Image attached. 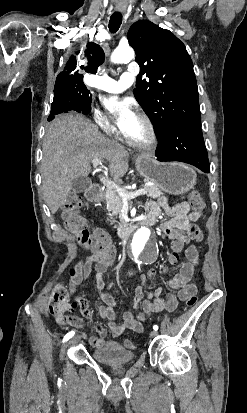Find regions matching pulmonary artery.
<instances>
[{"label":"pulmonary artery","mask_w":247,"mask_h":413,"mask_svg":"<svg viewBox=\"0 0 247 413\" xmlns=\"http://www.w3.org/2000/svg\"><path fill=\"white\" fill-rule=\"evenodd\" d=\"M135 81L136 77L130 72L122 73L118 80L104 75H88L84 79L87 86L109 93L121 92L122 90L133 85Z\"/></svg>","instance_id":"e3ab8cb5"}]
</instances>
